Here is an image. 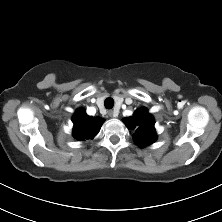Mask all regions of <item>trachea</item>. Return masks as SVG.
Wrapping results in <instances>:
<instances>
[{
	"label": "trachea",
	"mask_w": 222,
	"mask_h": 222,
	"mask_svg": "<svg viewBox=\"0 0 222 222\" xmlns=\"http://www.w3.org/2000/svg\"><path fill=\"white\" fill-rule=\"evenodd\" d=\"M105 108L112 109L114 106V100L112 98H107L104 101Z\"/></svg>",
	"instance_id": "trachea-1"
}]
</instances>
